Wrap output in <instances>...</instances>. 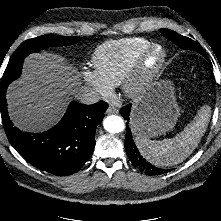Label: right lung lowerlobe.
<instances>
[{
  "instance_id": "1",
  "label": "right lung lower lobe",
  "mask_w": 221,
  "mask_h": 221,
  "mask_svg": "<svg viewBox=\"0 0 221 221\" xmlns=\"http://www.w3.org/2000/svg\"><path fill=\"white\" fill-rule=\"evenodd\" d=\"M8 84L0 88V111L9 142L30 164L48 173L67 176L79 171L92 156L97 125L103 120L108 104L72 102L62 120L40 134L21 132L7 115L5 98Z\"/></svg>"
}]
</instances>
